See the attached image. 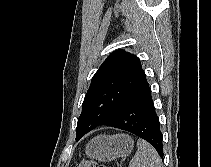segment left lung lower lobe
<instances>
[{"label": "left lung lower lobe", "mask_w": 211, "mask_h": 167, "mask_svg": "<svg viewBox=\"0 0 211 167\" xmlns=\"http://www.w3.org/2000/svg\"><path fill=\"white\" fill-rule=\"evenodd\" d=\"M104 125L129 131L149 142L163 158V135L155 112L149 85L130 99ZM79 140V139H78ZM77 140V141H78Z\"/></svg>", "instance_id": "obj_1"}]
</instances>
